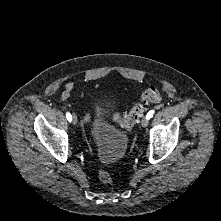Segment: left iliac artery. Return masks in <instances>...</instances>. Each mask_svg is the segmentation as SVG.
<instances>
[{
	"instance_id": "44dca946",
	"label": "left iliac artery",
	"mask_w": 221,
	"mask_h": 221,
	"mask_svg": "<svg viewBox=\"0 0 221 221\" xmlns=\"http://www.w3.org/2000/svg\"><path fill=\"white\" fill-rule=\"evenodd\" d=\"M154 112H155L154 110L149 111L146 115V118L150 119L153 116Z\"/></svg>"
}]
</instances>
